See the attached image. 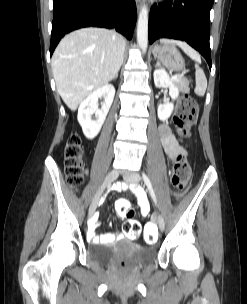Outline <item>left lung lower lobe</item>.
I'll use <instances>...</instances> for the list:
<instances>
[{
  "label": "left lung lower lobe",
  "mask_w": 247,
  "mask_h": 304,
  "mask_svg": "<svg viewBox=\"0 0 247 304\" xmlns=\"http://www.w3.org/2000/svg\"><path fill=\"white\" fill-rule=\"evenodd\" d=\"M214 0H166L152 7L149 43L158 38L186 41L207 60L211 69L210 10Z\"/></svg>",
  "instance_id": "0a47b994"
}]
</instances>
